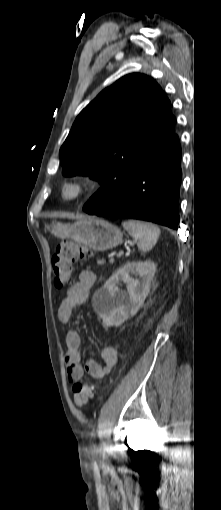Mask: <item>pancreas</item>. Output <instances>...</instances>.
Segmentation results:
<instances>
[{"label":"pancreas","mask_w":221,"mask_h":510,"mask_svg":"<svg viewBox=\"0 0 221 510\" xmlns=\"http://www.w3.org/2000/svg\"><path fill=\"white\" fill-rule=\"evenodd\" d=\"M97 264L98 265H104L105 264V260L104 259L98 260Z\"/></svg>","instance_id":"1"}]
</instances>
